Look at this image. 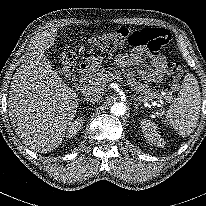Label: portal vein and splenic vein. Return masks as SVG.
Segmentation results:
<instances>
[{
    "label": "portal vein and splenic vein",
    "instance_id": "obj_1",
    "mask_svg": "<svg viewBox=\"0 0 206 206\" xmlns=\"http://www.w3.org/2000/svg\"><path fill=\"white\" fill-rule=\"evenodd\" d=\"M94 85H95V87H97L96 84H94ZM97 85H98V84H97ZM85 87H86V86H85ZM142 101H143V100H142ZM152 104L155 105V106H158V107L161 106V104H159V102H157V101L152 102Z\"/></svg>",
    "mask_w": 206,
    "mask_h": 206
}]
</instances>
